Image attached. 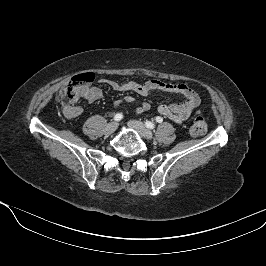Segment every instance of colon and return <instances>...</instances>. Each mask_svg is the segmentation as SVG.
I'll return each mask as SVG.
<instances>
[{
    "mask_svg": "<svg viewBox=\"0 0 266 266\" xmlns=\"http://www.w3.org/2000/svg\"><path fill=\"white\" fill-rule=\"evenodd\" d=\"M94 80L91 73L81 74L73 77L58 93L57 97L65 111H72L79 102L82 90ZM207 131V122L203 115L198 112L190 127L193 136L204 135Z\"/></svg>",
    "mask_w": 266,
    "mask_h": 266,
    "instance_id": "obj_1",
    "label": "colon"
}]
</instances>
